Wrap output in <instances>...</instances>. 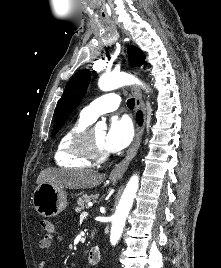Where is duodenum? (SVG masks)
Returning <instances> with one entry per match:
<instances>
[{
  "label": "duodenum",
  "instance_id": "obj_1",
  "mask_svg": "<svg viewBox=\"0 0 221 268\" xmlns=\"http://www.w3.org/2000/svg\"><path fill=\"white\" fill-rule=\"evenodd\" d=\"M87 260L91 265L99 263L101 260V249L99 246H93L88 251Z\"/></svg>",
  "mask_w": 221,
  "mask_h": 268
}]
</instances>
